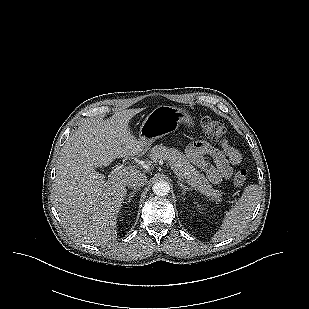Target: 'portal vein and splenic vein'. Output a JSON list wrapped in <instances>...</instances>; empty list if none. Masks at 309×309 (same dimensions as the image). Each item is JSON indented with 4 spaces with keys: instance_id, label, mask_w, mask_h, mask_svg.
Listing matches in <instances>:
<instances>
[{
    "instance_id": "1",
    "label": "portal vein and splenic vein",
    "mask_w": 309,
    "mask_h": 309,
    "mask_svg": "<svg viewBox=\"0 0 309 309\" xmlns=\"http://www.w3.org/2000/svg\"><path fill=\"white\" fill-rule=\"evenodd\" d=\"M167 165L170 166V168L174 171V173L178 176L179 179H182V174L171 164V163H166ZM134 166H129V167H124L122 168L121 166H117L114 171L113 174L116 177H122L123 175H125L126 173H128V171H130L131 169H133Z\"/></svg>"
}]
</instances>
